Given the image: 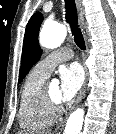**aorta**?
<instances>
[{
  "mask_svg": "<svg viewBox=\"0 0 116 134\" xmlns=\"http://www.w3.org/2000/svg\"><path fill=\"white\" fill-rule=\"evenodd\" d=\"M67 31L64 25L56 22H46L40 32L41 46L54 49L65 40ZM84 120V110L76 109L68 118L64 134H80Z\"/></svg>",
  "mask_w": 116,
  "mask_h": 134,
  "instance_id": "obj_1",
  "label": "aorta"
}]
</instances>
